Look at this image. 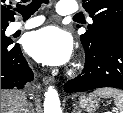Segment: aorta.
Masks as SVG:
<instances>
[{
    "label": "aorta",
    "mask_w": 123,
    "mask_h": 113,
    "mask_svg": "<svg viewBox=\"0 0 123 113\" xmlns=\"http://www.w3.org/2000/svg\"><path fill=\"white\" fill-rule=\"evenodd\" d=\"M44 113H62L57 90L50 86L45 93Z\"/></svg>",
    "instance_id": "obj_1"
}]
</instances>
